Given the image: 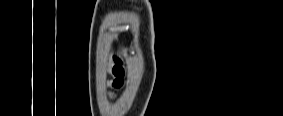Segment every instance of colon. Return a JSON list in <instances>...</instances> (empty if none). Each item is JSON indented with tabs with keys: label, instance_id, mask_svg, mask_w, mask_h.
Returning a JSON list of instances; mask_svg holds the SVG:
<instances>
[{
	"label": "colon",
	"instance_id": "5ec220e1",
	"mask_svg": "<svg viewBox=\"0 0 283 116\" xmlns=\"http://www.w3.org/2000/svg\"><path fill=\"white\" fill-rule=\"evenodd\" d=\"M124 75H117L116 76V81H115V85L117 87H121L124 85V78H123Z\"/></svg>",
	"mask_w": 283,
	"mask_h": 116
}]
</instances>
